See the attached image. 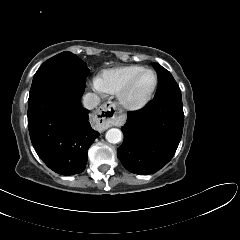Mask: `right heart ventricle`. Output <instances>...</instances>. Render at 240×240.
<instances>
[{"instance_id": "1", "label": "right heart ventricle", "mask_w": 240, "mask_h": 240, "mask_svg": "<svg viewBox=\"0 0 240 240\" xmlns=\"http://www.w3.org/2000/svg\"><path fill=\"white\" fill-rule=\"evenodd\" d=\"M142 69H144L142 66L129 65L105 70L96 79L97 86L103 92L117 94Z\"/></svg>"}]
</instances>
